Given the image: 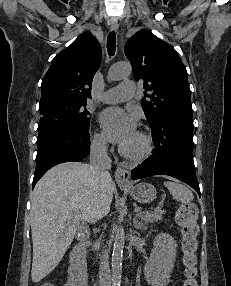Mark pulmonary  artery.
I'll return each instance as SVG.
<instances>
[{"label":"pulmonary artery","mask_w":231,"mask_h":286,"mask_svg":"<svg viewBox=\"0 0 231 286\" xmlns=\"http://www.w3.org/2000/svg\"><path fill=\"white\" fill-rule=\"evenodd\" d=\"M136 93V83L132 80H124L118 86L103 92L99 100L103 103H118L129 100Z\"/></svg>","instance_id":"pulmonary-artery-1"}]
</instances>
